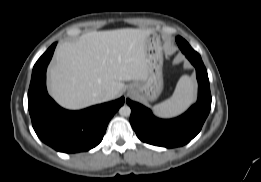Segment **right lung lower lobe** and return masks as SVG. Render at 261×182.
I'll list each match as a JSON object with an SVG mask.
<instances>
[{
	"instance_id": "obj_1",
	"label": "right lung lower lobe",
	"mask_w": 261,
	"mask_h": 182,
	"mask_svg": "<svg viewBox=\"0 0 261 182\" xmlns=\"http://www.w3.org/2000/svg\"><path fill=\"white\" fill-rule=\"evenodd\" d=\"M55 47L53 43L33 67L28 91L32 125L37 136L57 151H88L101 142L110 119L124 104V97L80 111L58 106L46 90V69Z\"/></svg>"
}]
</instances>
